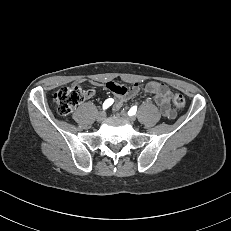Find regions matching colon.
I'll return each mask as SVG.
<instances>
[{
  "instance_id": "obj_1",
  "label": "colon",
  "mask_w": 231,
  "mask_h": 231,
  "mask_svg": "<svg viewBox=\"0 0 231 231\" xmlns=\"http://www.w3.org/2000/svg\"><path fill=\"white\" fill-rule=\"evenodd\" d=\"M87 95L88 92H86L80 85H72L58 89L54 93L53 98L58 111L63 115H67L70 114ZM173 103L176 108L182 109L185 107L186 101L183 95L175 94L173 97Z\"/></svg>"
}]
</instances>
